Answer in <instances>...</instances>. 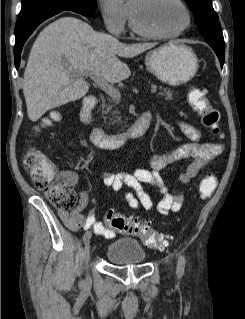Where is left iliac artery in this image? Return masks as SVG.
<instances>
[{
  "mask_svg": "<svg viewBox=\"0 0 245 319\" xmlns=\"http://www.w3.org/2000/svg\"><path fill=\"white\" fill-rule=\"evenodd\" d=\"M185 268V258L183 255L179 254L178 265H177V274L182 276Z\"/></svg>",
  "mask_w": 245,
  "mask_h": 319,
  "instance_id": "obj_1",
  "label": "left iliac artery"
}]
</instances>
